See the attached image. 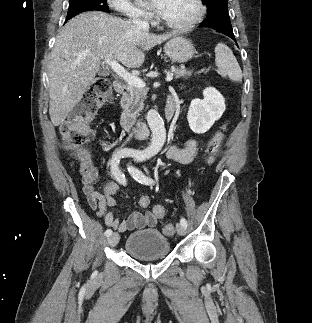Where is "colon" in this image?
Wrapping results in <instances>:
<instances>
[{
  "label": "colon",
  "mask_w": 312,
  "mask_h": 323,
  "mask_svg": "<svg viewBox=\"0 0 312 323\" xmlns=\"http://www.w3.org/2000/svg\"><path fill=\"white\" fill-rule=\"evenodd\" d=\"M113 95L111 85L106 77L95 78L90 84V90L86 92L80 105L75 109L72 118L62 124V134L64 137V148L72 153L73 159L82 167L89 168L88 143L93 138V131L89 127L92 118L100 106L111 103ZM227 125L223 124L211 137L207 148V165L214 163L221 143L226 134ZM150 204V198L142 196L139 199L141 207H147ZM155 213H164V206H155ZM162 231L166 235H172L175 231L174 225L167 223L163 226Z\"/></svg>",
  "instance_id": "1"
}]
</instances>
